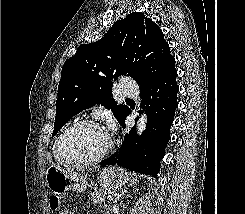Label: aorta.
Instances as JSON below:
<instances>
[{"instance_id": "obj_1", "label": "aorta", "mask_w": 245, "mask_h": 214, "mask_svg": "<svg viewBox=\"0 0 245 214\" xmlns=\"http://www.w3.org/2000/svg\"><path fill=\"white\" fill-rule=\"evenodd\" d=\"M146 124H147V118H146V115L143 114L140 116L137 122V132L139 135L145 130Z\"/></svg>"}]
</instances>
